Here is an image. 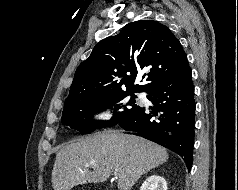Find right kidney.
Returning <instances> with one entry per match:
<instances>
[{
  "instance_id": "obj_1",
  "label": "right kidney",
  "mask_w": 238,
  "mask_h": 190,
  "mask_svg": "<svg viewBox=\"0 0 238 190\" xmlns=\"http://www.w3.org/2000/svg\"><path fill=\"white\" fill-rule=\"evenodd\" d=\"M140 190H167V183L163 177L151 175L144 181Z\"/></svg>"
}]
</instances>
